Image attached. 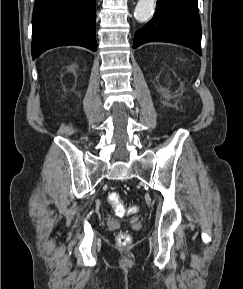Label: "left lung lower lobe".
I'll return each instance as SVG.
<instances>
[{"instance_id":"obj_1","label":"left lung lower lobe","mask_w":243,"mask_h":289,"mask_svg":"<svg viewBox=\"0 0 243 289\" xmlns=\"http://www.w3.org/2000/svg\"><path fill=\"white\" fill-rule=\"evenodd\" d=\"M148 42L180 44L201 55L197 0H158L153 18L135 33L133 48Z\"/></svg>"}]
</instances>
